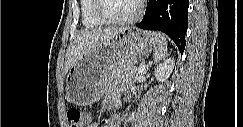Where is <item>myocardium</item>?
Wrapping results in <instances>:
<instances>
[{"mask_svg":"<svg viewBox=\"0 0 243 127\" xmlns=\"http://www.w3.org/2000/svg\"><path fill=\"white\" fill-rule=\"evenodd\" d=\"M95 11L99 19H101L106 24L111 25H124L135 22L143 11V2L141 0H136V9L134 13L125 18H113L107 15L103 8V0H95Z\"/></svg>","mask_w":243,"mask_h":127,"instance_id":"myocardium-1","label":"myocardium"}]
</instances>
